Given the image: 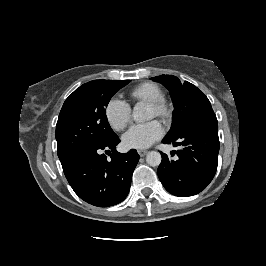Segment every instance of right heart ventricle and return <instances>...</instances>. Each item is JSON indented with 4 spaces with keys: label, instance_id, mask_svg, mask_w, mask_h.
Here are the masks:
<instances>
[{
    "label": "right heart ventricle",
    "instance_id": "e07e8e85",
    "mask_svg": "<svg viewBox=\"0 0 266 266\" xmlns=\"http://www.w3.org/2000/svg\"><path fill=\"white\" fill-rule=\"evenodd\" d=\"M131 97L137 101L152 102L164 97L162 89L151 82H145L135 87L131 93Z\"/></svg>",
    "mask_w": 266,
    "mask_h": 266
}]
</instances>
